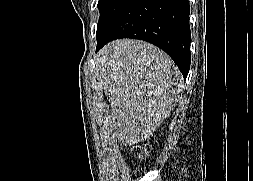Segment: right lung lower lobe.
<instances>
[{
	"label": "right lung lower lobe",
	"mask_w": 253,
	"mask_h": 181,
	"mask_svg": "<svg viewBox=\"0 0 253 181\" xmlns=\"http://www.w3.org/2000/svg\"><path fill=\"white\" fill-rule=\"evenodd\" d=\"M188 0H133L99 36L96 52L109 41L134 38L164 50L186 78L190 68Z\"/></svg>",
	"instance_id": "right-lung-lower-lobe-1"
}]
</instances>
